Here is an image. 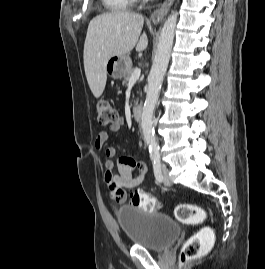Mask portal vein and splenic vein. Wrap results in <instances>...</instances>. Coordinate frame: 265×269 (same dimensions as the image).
<instances>
[{
  "instance_id": "18ae733b",
  "label": "portal vein and splenic vein",
  "mask_w": 265,
  "mask_h": 269,
  "mask_svg": "<svg viewBox=\"0 0 265 269\" xmlns=\"http://www.w3.org/2000/svg\"><path fill=\"white\" fill-rule=\"evenodd\" d=\"M140 74H141V70L139 68H136L130 77L129 83L130 84L135 83L139 79Z\"/></svg>"
}]
</instances>
